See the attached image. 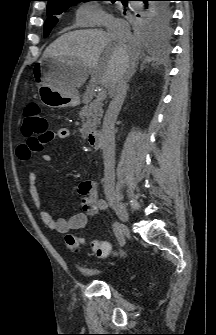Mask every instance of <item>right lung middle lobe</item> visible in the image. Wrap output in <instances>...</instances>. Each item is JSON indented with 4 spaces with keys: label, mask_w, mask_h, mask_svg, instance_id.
Listing matches in <instances>:
<instances>
[{
    "label": "right lung middle lobe",
    "mask_w": 216,
    "mask_h": 335,
    "mask_svg": "<svg viewBox=\"0 0 216 335\" xmlns=\"http://www.w3.org/2000/svg\"><path fill=\"white\" fill-rule=\"evenodd\" d=\"M80 1L87 0H70L49 4L47 6L48 18L46 19L44 24V37H47L49 35L53 26L58 22L57 15L61 14L70 6ZM110 1L115 2L116 0ZM170 16L171 13L169 9V4L167 2L155 3L153 5L152 11L146 14H142L141 8L134 11V17L140 27L143 30L151 33L168 34L170 32Z\"/></svg>",
    "instance_id": "dd1d6c3e"
}]
</instances>
